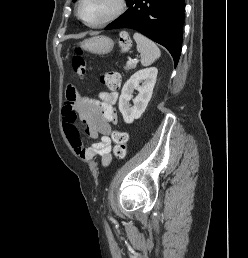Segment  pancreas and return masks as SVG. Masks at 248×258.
I'll return each mask as SVG.
<instances>
[{
	"label": "pancreas",
	"mask_w": 248,
	"mask_h": 258,
	"mask_svg": "<svg viewBox=\"0 0 248 258\" xmlns=\"http://www.w3.org/2000/svg\"><path fill=\"white\" fill-rule=\"evenodd\" d=\"M136 66H137V62H131V63L127 62L126 66L124 68L126 71H129V70L135 69Z\"/></svg>",
	"instance_id": "pancreas-1"
}]
</instances>
